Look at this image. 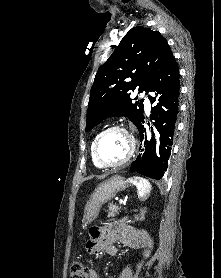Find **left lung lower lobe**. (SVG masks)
Listing matches in <instances>:
<instances>
[{"label": "left lung lower lobe", "instance_id": "obj_1", "mask_svg": "<svg viewBox=\"0 0 221 278\" xmlns=\"http://www.w3.org/2000/svg\"><path fill=\"white\" fill-rule=\"evenodd\" d=\"M179 67L173 57L166 70L156 79L150 88L155 97L149 96L151 104L157 103L151 109V119L154 120L157 136L152 132V140L144 135V118L138 126L140 140L144 142L141 154L131 164L130 171L160 180L167 170L171 154L173 136L179 109L180 81Z\"/></svg>", "mask_w": 221, "mask_h": 278}]
</instances>
